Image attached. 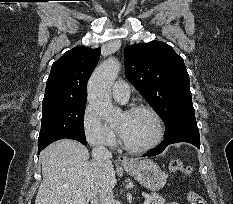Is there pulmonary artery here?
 <instances>
[{
	"instance_id": "e3ab8cb5",
	"label": "pulmonary artery",
	"mask_w": 233,
	"mask_h": 204,
	"mask_svg": "<svg viewBox=\"0 0 233 204\" xmlns=\"http://www.w3.org/2000/svg\"><path fill=\"white\" fill-rule=\"evenodd\" d=\"M112 95L119 102H127L130 95L129 85L122 80L116 81L112 87Z\"/></svg>"
}]
</instances>
